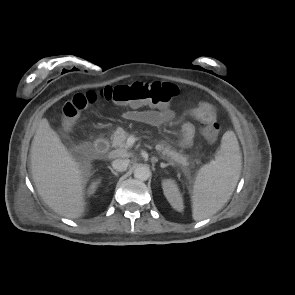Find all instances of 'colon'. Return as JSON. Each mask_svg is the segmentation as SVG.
<instances>
[{
	"label": "colon",
	"instance_id": "1",
	"mask_svg": "<svg viewBox=\"0 0 295 295\" xmlns=\"http://www.w3.org/2000/svg\"><path fill=\"white\" fill-rule=\"evenodd\" d=\"M174 84L164 82L137 81L131 84H121L103 87L97 91L77 94L63 107L66 121H72L89 105L99 100H105L117 105L140 107L150 105L165 108L178 95ZM216 119L203 122L201 133L209 141H214L219 133Z\"/></svg>",
	"mask_w": 295,
	"mask_h": 295
}]
</instances>
